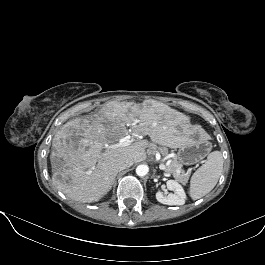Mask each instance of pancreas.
I'll list each match as a JSON object with an SVG mask.
<instances>
[{"label":"pancreas","instance_id":"pancreas-1","mask_svg":"<svg viewBox=\"0 0 265 265\" xmlns=\"http://www.w3.org/2000/svg\"><path fill=\"white\" fill-rule=\"evenodd\" d=\"M160 152L162 155L168 154V150L166 148H160ZM165 172L172 174L176 180L181 182L186 181L189 177L188 173L182 170V164L177 160L176 157H174L166 166Z\"/></svg>","mask_w":265,"mask_h":265}]
</instances>
